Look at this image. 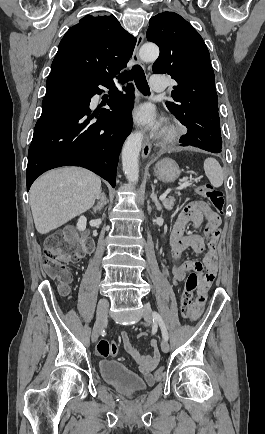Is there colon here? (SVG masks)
<instances>
[{
    "label": "colon",
    "instance_id": "colon-1",
    "mask_svg": "<svg viewBox=\"0 0 265 434\" xmlns=\"http://www.w3.org/2000/svg\"><path fill=\"white\" fill-rule=\"evenodd\" d=\"M200 193L210 202L216 212H223L225 200L222 193L210 184H203ZM79 259V253L72 243L66 240L61 234H55L47 240L46 249L42 261L43 274L48 278L57 280L60 292L65 295L68 292L69 284L72 280V273L67 268L69 264H74ZM185 279V289L181 295L182 317L191 319L190 302L192 301L194 289L198 286L199 275L192 272ZM96 353L102 358L116 356L119 353L118 346L107 339H102L96 346ZM163 369H156V377H161Z\"/></svg>",
    "mask_w": 265,
    "mask_h": 434
}]
</instances>
